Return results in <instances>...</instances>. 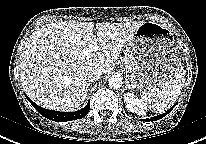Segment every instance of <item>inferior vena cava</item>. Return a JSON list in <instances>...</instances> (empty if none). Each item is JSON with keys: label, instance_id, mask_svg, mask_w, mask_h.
<instances>
[{"label": "inferior vena cava", "instance_id": "602c4592", "mask_svg": "<svg viewBox=\"0 0 206 144\" xmlns=\"http://www.w3.org/2000/svg\"><path fill=\"white\" fill-rule=\"evenodd\" d=\"M101 75H102V71L100 69L92 68L89 70L87 74V81L89 83L95 82L98 79H100Z\"/></svg>", "mask_w": 206, "mask_h": 144}]
</instances>
